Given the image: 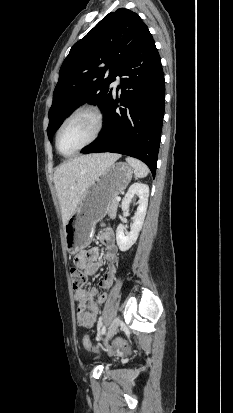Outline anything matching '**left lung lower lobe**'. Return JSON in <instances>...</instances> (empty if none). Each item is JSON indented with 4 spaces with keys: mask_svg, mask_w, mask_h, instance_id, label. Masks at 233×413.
Here are the masks:
<instances>
[{
    "mask_svg": "<svg viewBox=\"0 0 233 413\" xmlns=\"http://www.w3.org/2000/svg\"><path fill=\"white\" fill-rule=\"evenodd\" d=\"M122 93L104 111L102 134L81 152H113L140 159L156 173L164 116L165 81L161 59L149 30L122 68ZM118 103L122 107L117 109Z\"/></svg>",
    "mask_w": 233,
    "mask_h": 413,
    "instance_id": "0a47b994",
    "label": "left lung lower lobe"
}]
</instances>
